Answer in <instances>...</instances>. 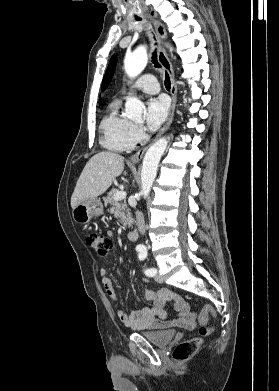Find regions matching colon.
Segmentation results:
<instances>
[{
  "label": "colon",
  "instance_id": "obj_1",
  "mask_svg": "<svg viewBox=\"0 0 279 391\" xmlns=\"http://www.w3.org/2000/svg\"><path fill=\"white\" fill-rule=\"evenodd\" d=\"M87 243L100 257H106L113 249L112 239L109 236L100 233H90L87 236ZM210 316L215 317L216 314L213 307L207 304L198 317V322L200 324L199 333L201 337L207 336L211 332V327L208 326ZM201 337L192 338L178 344L173 352V357L178 361L190 359L202 344Z\"/></svg>",
  "mask_w": 279,
  "mask_h": 391
}]
</instances>
